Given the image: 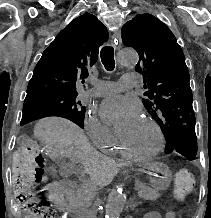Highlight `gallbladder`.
<instances>
[{
    "mask_svg": "<svg viewBox=\"0 0 211 218\" xmlns=\"http://www.w3.org/2000/svg\"><path fill=\"white\" fill-rule=\"evenodd\" d=\"M56 164L59 166V176H63V178H70L72 175H81V171H84V166H75L74 162H65L63 158H58Z\"/></svg>",
    "mask_w": 211,
    "mask_h": 218,
    "instance_id": "bac80fb5",
    "label": "gallbladder"
}]
</instances>
